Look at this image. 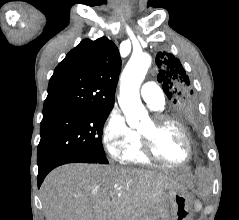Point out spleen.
I'll return each mask as SVG.
<instances>
[{
	"instance_id": "3e777b00",
	"label": "spleen",
	"mask_w": 239,
	"mask_h": 220,
	"mask_svg": "<svg viewBox=\"0 0 239 220\" xmlns=\"http://www.w3.org/2000/svg\"><path fill=\"white\" fill-rule=\"evenodd\" d=\"M200 208H201V205H200V203L197 202V203L195 204V209H196L197 211H199Z\"/></svg>"
}]
</instances>
